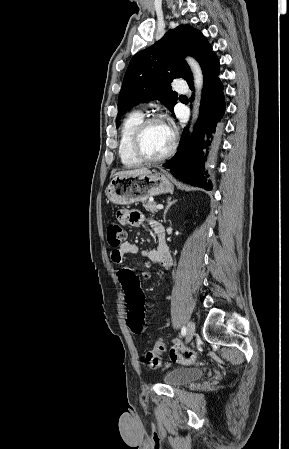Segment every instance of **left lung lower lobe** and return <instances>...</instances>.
<instances>
[{
	"label": "left lung lower lobe",
	"instance_id": "0a47b994",
	"mask_svg": "<svg viewBox=\"0 0 289 449\" xmlns=\"http://www.w3.org/2000/svg\"><path fill=\"white\" fill-rule=\"evenodd\" d=\"M204 75L200 114L192 136L184 129L178 151L164 164L170 172L183 182L206 190H212L206 168L207 157L215 153L221 142V119L225 112L223 85L219 79V60L210 52L201 63ZM191 90L193 81L188 82Z\"/></svg>",
	"mask_w": 289,
	"mask_h": 449
}]
</instances>
